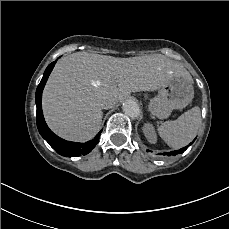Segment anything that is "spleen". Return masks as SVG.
I'll use <instances>...</instances> for the list:
<instances>
[{
	"label": "spleen",
	"mask_w": 229,
	"mask_h": 229,
	"mask_svg": "<svg viewBox=\"0 0 229 229\" xmlns=\"http://www.w3.org/2000/svg\"><path fill=\"white\" fill-rule=\"evenodd\" d=\"M201 123L199 107L183 113L176 120L167 121L157 127L159 137L171 148L178 149L189 144L196 136Z\"/></svg>",
	"instance_id": "1"
}]
</instances>
